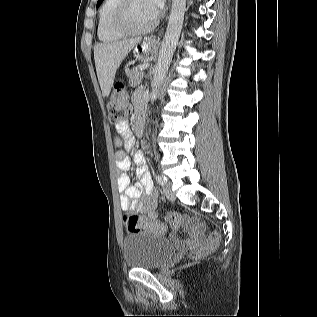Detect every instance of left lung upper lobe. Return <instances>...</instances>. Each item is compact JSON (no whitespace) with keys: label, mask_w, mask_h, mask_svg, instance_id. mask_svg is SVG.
I'll use <instances>...</instances> for the list:
<instances>
[{"label":"left lung upper lobe","mask_w":317,"mask_h":317,"mask_svg":"<svg viewBox=\"0 0 317 317\" xmlns=\"http://www.w3.org/2000/svg\"><path fill=\"white\" fill-rule=\"evenodd\" d=\"M103 2V0H98L97 7Z\"/></svg>","instance_id":"obj_1"}]
</instances>
